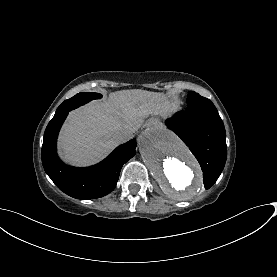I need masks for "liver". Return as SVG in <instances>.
Here are the masks:
<instances>
[{
    "label": "liver",
    "instance_id": "6515ba94",
    "mask_svg": "<svg viewBox=\"0 0 277 277\" xmlns=\"http://www.w3.org/2000/svg\"><path fill=\"white\" fill-rule=\"evenodd\" d=\"M172 111L159 93L143 90L113 93L108 102H95L72 113L61 134V153L76 164L93 163L120 143L114 137L116 130L136 131L147 117H167Z\"/></svg>",
    "mask_w": 277,
    "mask_h": 277
}]
</instances>
